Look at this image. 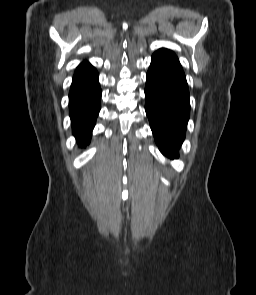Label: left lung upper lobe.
I'll return each instance as SVG.
<instances>
[{
    "mask_svg": "<svg viewBox=\"0 0 256 295\" xmlns=\"http://www.w3.org/2000/svg\"><path fill=\"white\" fill-rule=\"evenodd\" d=\"M152 61L170 65L182 70L176 55L172 51L165 48H161L156 51L152 56Z\"/></svg>",
    "mask_w": 256,
    "mask_h": 295,
    "instance_id": "left-lung-upper-lobe-1",
    "label": "left lung upper lobe"
}]
</instances>
